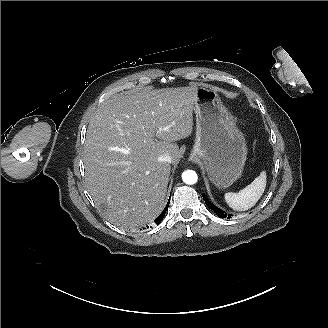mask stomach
Masks as SVG:
<instances>
[{
    "instance_id": "obj_1",
    "label": "stomach",
    "mask_w": 328,
    "mask_h": 328,
    "mask_svg": "<svg viewBox=\"0 0 328 328\" xmlns=\"http://www.w3.org/2000/svg\"><path fill=\"white\" fill-rule=\"evenodd\" d=\"M194 110L196 136L191 156L203 162L217 188L226 189L243 176L248 153L244 134L212 87H198Z\"/></svg>"
}]
</instances>
